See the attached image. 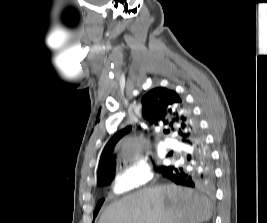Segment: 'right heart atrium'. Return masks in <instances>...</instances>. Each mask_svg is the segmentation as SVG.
Instances as JSON below:
<instances>
[{"mask_svg":"<svg viewBox=\"0 0 267 223\" xmlns=\"http://www.w3.org/2000/svg\"><path fill=\"white\" fill-rule=\"evenodd\" d=\"M154 178L153 168L147 163L128 165L119 170L113 180V191L116 194L133 192Z\"/></svg>","mask_w":267,"mask_h":223,"instance_id":"d8ad5b80","label":"right heart atrium"}]
</instances>
